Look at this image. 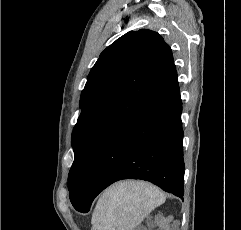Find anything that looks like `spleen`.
I'll use <instances>...</instances> for the list:
<instances>
[{"mask_svg": "<svg viewBox=\"0 0 241 230\" xmlns=\"http://www.w3.org/2000/svg\"><path fill=\"white\" fill-rule=\"evenodd\" d=\"M165 202L157 187L141 181L114 184L100 196L91 230H134L153 209Z\"/></svg>", "mask_w": 241, "mask_h": 230, "instance_id": "spleen-1", "label": "spleen"}]
</instances>
